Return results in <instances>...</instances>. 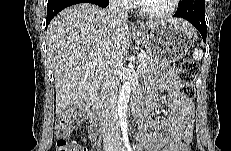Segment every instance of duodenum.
Segmentation results:
<instances>
[{"mask_svg": "<svg viewBox=\"0 0 231 151\" xmlns=\"http://www.w3.org/2000/svg\"><path fill=\"white\" fill-rule=\"evenodd\" d=\"M96 94H97V88L92 87L89 95L83 101V106L91 112V117L94 122H100L106 119L107 114L105 110L99 109L96 106ZM133 107H134L136 116L142 117L143 115L142 102L139 99H135L133 102Z\"/></svg>", "mask_w": 231, "mask_h": 151, "instance_id": "duodenum-1", "label": "duodenum"}]
</instances>
